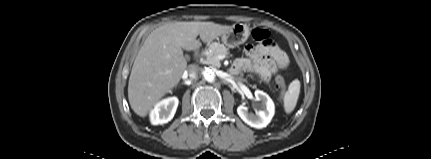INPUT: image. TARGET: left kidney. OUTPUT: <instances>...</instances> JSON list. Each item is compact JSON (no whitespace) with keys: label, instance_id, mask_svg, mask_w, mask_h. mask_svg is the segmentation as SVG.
I'll return each instance as SVG.
<instances>
[{"label":"left kidney","instance_id":"obj_1","mask_svg":"<svg viewBox=\"0 0 431 159\" xmlns=\"http://www.w3.org/2000/svg\"><path fill=\"white\" fill-rule=\"evenodd\" d=\"M255 100L258 102L259 110L256 114L249 113L246 106L240 105L237 108L239 117L249 126L261 129L266 127L272 120L275 113V106L272 99L263 91H255Z\"/></svg>","mask_w":431,"mask_h":159}]
</instances>
